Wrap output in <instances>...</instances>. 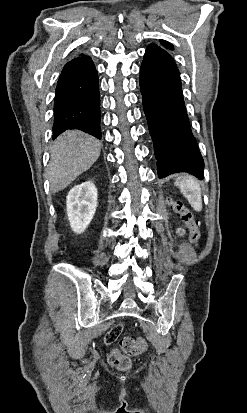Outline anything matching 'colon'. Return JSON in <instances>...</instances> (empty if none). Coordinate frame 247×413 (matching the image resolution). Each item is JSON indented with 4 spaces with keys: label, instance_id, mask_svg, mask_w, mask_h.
Listing matches in <instances>:
<instances>
[{
    "label": "colon",
    "instance_id": "1",
    "mask_svg": "<svg viewBox=\"0 0 247 413\" xmlns=\"http://www.w3.org/2000/svg\"><path fill=\"white\" fill-rule=\"evenodd\" d=\"M167 205L175 212L177 217H180L184 225L189 229L191 238L196 245L199 244L200 231L198 230V223L194 220L192 213L186 207V205L179 200H168ZM119 349L112 351L109 355L110 364L120 371L128 370L130 367V359L125 355H146L147 347L146 343L142 339H134L131 334L126 337H118ZM123 342H129L131 349L129 351H123L121 344Z\"/></svg>",
    "mask_w": 247,
    "mask_h": 413
}]
</instances>
